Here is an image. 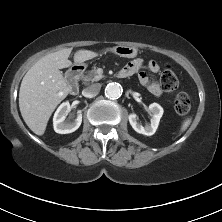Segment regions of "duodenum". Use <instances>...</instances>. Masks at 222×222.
<instances>
[{"mask_svg":"<svg viewBox=\"0 0 222 222\" xmlns=\"http://www.w3.org/2000/svg\"><path fill=\"white\" fill-rule=\"evenodd\" d=\"M83 71H84V68L80 65L73 66L70 70V79H71L70 92L72 95H76L79 92V89H80L79 79H80ZM127 76H128V74L123 71H119V73H118V77L124 78Z\"/></svg>","mask_w":222,"mask_h":222,"instance_id":"obj_1","label":"duodenum"}]
</instances>
